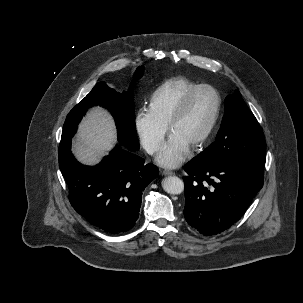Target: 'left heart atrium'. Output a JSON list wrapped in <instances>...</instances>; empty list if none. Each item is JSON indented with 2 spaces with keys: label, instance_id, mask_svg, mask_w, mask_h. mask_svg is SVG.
<instances>
[{
  "label": "left heart atrium",
  "instance_id": "obj_1",
  "mask_svg": "<svg viewBox=\"0 0 303 303\" xmlns=\"http://www.w3.org/2000/svg\"><path fill=\"white\" fill-rule=\"evenodd\" d=\"M190 145L176 133H171L162 147L156 162L165 168H176L187 158Z\"/></svg>",
  "mask_w": 303,
  "mask_h": 303
}]
</instances>
